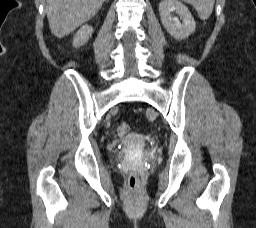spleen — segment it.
<instances>
[{
    "label": "spleen",
    "mask_w": 256,
    "mask_h": 228,
    "mask_svg": "<svg viewBox=\"0 0 256 228\" xmlns=\"http://www.w3.org/2000/svg\"><path fill=\"white\" fill-rule=\"evenodd\" d=\"M191 4L198 12L200 19L206 20L210 17L213 11L215 0H182Z\"/></svg>",
    "instance_id": "1"
}]
</instances>
